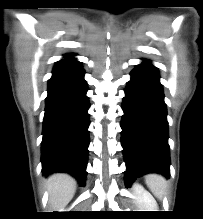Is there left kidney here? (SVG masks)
Returning <instances> with one entry per match:
<instances>
[{"label": "left kidney", "instance_id": "5707ae66", "mask_svg": "<svg viewBox=\"0 0 203 219\" xmlns=\"http://www.w3.org/2000/svg\"><path fill=\"white\" fill-rule=\"evenodd\" d=\"M134 194L137 196L136 203L141 209L140 211H157V203L149 192H147L140 184L133 185Z\"/></svg>", "mask_w": 203, "mask_h": 219}]
</instances>
